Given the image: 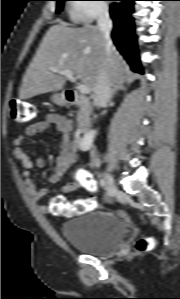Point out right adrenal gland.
I'll return each mask as SVG.
<instances>
[{
    "instance_id": "2a0ac1e0",
    "label": "right adrenal gland",
    "mask_w": 180,
    "mask_h": 299,
    "mask_svg": "<svg viewBox=\"0 0 180 299\" xmlns=\"http://www.w3.org/2000/svg\"><path fill=\"white\" fill-rule=\"evenodd\" d=\"M124 81H125V78H123L121 84H118V85L114 86L112 96H114L120 90H123V91L126 90V87H124V85H123Z\"/></svg>"
}]
</instances>
